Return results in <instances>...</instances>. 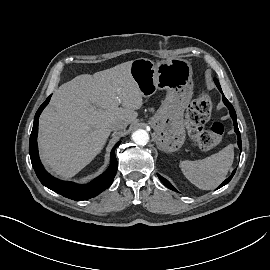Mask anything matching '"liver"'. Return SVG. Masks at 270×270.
Instances as JSON below:
<instances>
[{"instance_id": "6515ba94", "label": "liver", "mask_w": 270, "mask_h": 270, "mask_svg": "<svg viewBox=\"0 0 270 270\" xmlns=\"http://www.w3.org/2000/svg\"><path fill=\"white\" fill-rule=\"evenodd\" d=\"M131 64L79 75L54 92L39 119L38 144L43 164L56 175H76L101 152L113 122L137 118L143 95Z\"/></svg>"}]
</instances>
